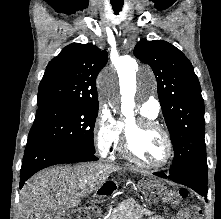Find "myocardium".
<instances>
[{"mask_svg":"<svg viewBox=\"0 0 221 219\" xmlns=\"http://www.w3.org/2000/svg\"><path fill=\"white\" fill-rule=\"evenodd\" d=\"M135 125L137 128H147V129H153L158 132H160L166 142V154L163 161L159 164H148L142 160H140L135 153L133 152L132 146H131V140H130V131L128 126L126 125L124 128L123 138L121 142V152L123 156L130 160L131 162L135 163L136 165L148 169V170H161L166 168L172 161L174 156V145L172 138L169 134V132L158 122L150 119V118H138L135 121Z\"/></svg>","mask_w":221,"mask_h":219,"instance_id":"1","label":"myocardium"}]
</instances>
